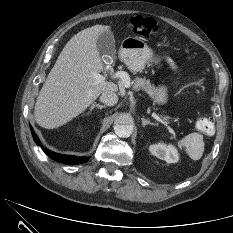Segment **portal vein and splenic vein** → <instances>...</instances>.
<instances>
[{
  "label": "portal vein and splenic vein",
  "instance_id": "obj_1",
  "mask_svg": "<svg viewBox=\"0 0 233 233\" xmlns=\"http://www.w3.org/2000/svg\"><path fill=\"white\" fill-rule=\"evenodd\" d=\"M93 77L95 79V83H101V82H104L106 80L105 76H103V75H101L99 73H96V72L93 73ZM110 78L120 80V84L122 86H124V87H128L130 85L129 75L125 71H117L114 74H112ZM152 116H153L154 119H156L157 121H159L160 123H162L168 129V131L171 134L175 135L174 130L160 116H158L155 113H153Z\"/></svg>",
  "mask_w": 233,
  "mask_h": 233
}]
</instances>
